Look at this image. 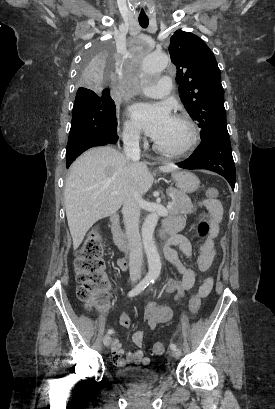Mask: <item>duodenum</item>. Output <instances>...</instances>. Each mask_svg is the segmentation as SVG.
<instances>
[{
  "instance_id": "410a0bca",
  "label": "duodenum",
  "mask_w": 275,
  "mask_h": 409,
  "mask_svg": "<svg viewBox=\"0 0 275 409\" xmlns=\"http://www.w3.org/2000/svg\"><path fill=\"white\" fill-rule=\"evenodd\" d=\"M179 229L178 225L173 224V223H167L164 225V228L162 230L163 234H174L177 232ZM111 231L113 234L114 242L118 246V248L123 251V252H128L129 251V244L127 237L122 230L120 224H119V217L117 215H113L111 217Z\"/></svg>"
}]
</instances>
